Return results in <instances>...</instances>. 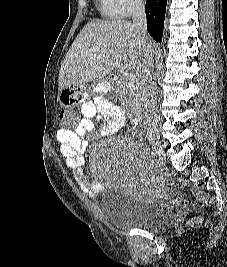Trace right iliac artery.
Returning a JSON list of instances; mask_svg holds the SVG:
<instances>
[{
    "mask_svg": "<svg viewBox=\"0 0 227 267\" xmlns=\"http://www.w3.org/2000/svg\"><path fill=\"white\" fill-rule=\"evenodd\" d=\"M149 155L154 160L155 159V156H156V153L153 152V151H151Z\"/></svg>",
    "mask_w": 227,
    "mask_h": 267,
    "instance_id": "obj_1",
    "label": "right iliac artery"
}]
</instances>
